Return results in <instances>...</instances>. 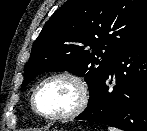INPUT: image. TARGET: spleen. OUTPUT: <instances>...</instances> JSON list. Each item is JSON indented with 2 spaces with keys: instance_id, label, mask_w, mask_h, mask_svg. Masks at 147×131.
<instances>
[{
  "instance_id": "1",
  "label": "spleen",
  "mask_w": 147,
  "mask_h": 131,
  "mask_svg": "<svg viewBox=\"0 0 147 131\" xmlns=\"http://www.w3.org/2000/svg\"><path fill=\"white\" fill-rule=\"evenodd\" d=\"M108 131H118V130L111 128V127H108Z\"/></svg>"
}]
</instances>
